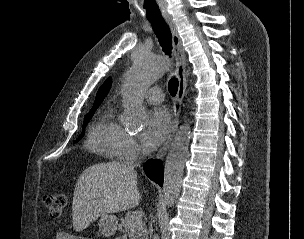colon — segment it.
<instances>
[{"mask_svg": "<svg viewBox=\"0 0 304 239\" xmlns=\"http://www.w3.org/2000/svg\"><path fill=\"white\" fill-rule=\"evenodd\" d=\"M44 204L52 217H59L66 207V196L64 194H47L44 196Z\"/></svg>", "mask_w": 304, "mask_h": 239, "instance_id": "1", "label": "colon"}]
</instances>
